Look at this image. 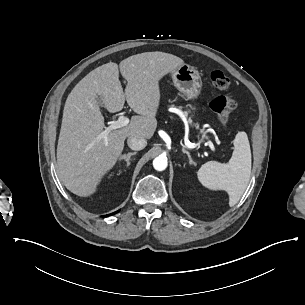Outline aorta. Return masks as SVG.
Segmentation results:
<instances>
[{"label":"aorta","mask_w":305,"mask_h":305,"mask_svg":"<svg viewBox=\"0 0 305 305\" xmlns=\"http://www.w3.org/2000/svg\"><path fill=\"white\" fill-rule=\"evenodd\" d=\"M167 166H168L167 157L163 155H159L153 160V167L157 171H163L167 168Z\"/></svg>","instance_id":"762f6f07"}]
</instances>
